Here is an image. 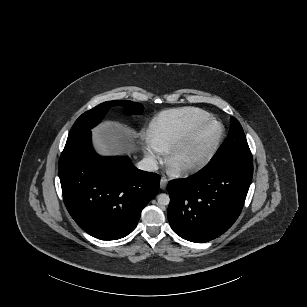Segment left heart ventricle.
<instances>
[{
	"label": "left heart ventricle",
	"instance_id": "1",
	"mask_svg": "<svg viewBox=\"0 0 307 307\" xmlns=\"http://www.w3.org/2000/svg\"><path fill=\"white\" fill-rule=\"evenodd\" d=\"M223 127L217 123L213 125L201 138L197 145L186 152L179 161V164H187L199 159L222 134Z\"/></svg>",
	"mask_w": 307,
	"mask_h": 307
}]
</instances>
